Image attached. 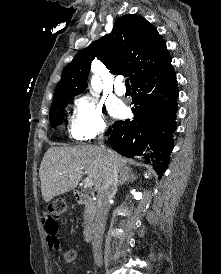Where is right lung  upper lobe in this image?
Returning a JSON list of instances; mask_svg holds the SVG:
<instances>
[{
	"label": "right lung upper lobe",
	"mask_w": 221,
	"mask_h": 274,
	"mask_svg": "<svg viewBox=\"0 0 221 274\" xmlns=\"http://www.w3.org/2000/svg\"><path fill=\"white\" fill-rule=\"evenodd\" d=\"M97 58L111 73L127 74L131 83L170 59L166 42L145 18L120 17L110 34L79 51L62 72L54 98L76 96L87 87L91 61Z\"/></svg>",
	"instance_id": "right-lung-upper-lobe-1"
}]
</instances>
